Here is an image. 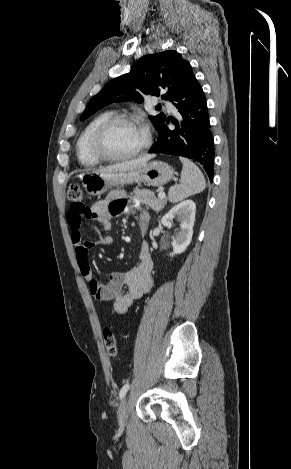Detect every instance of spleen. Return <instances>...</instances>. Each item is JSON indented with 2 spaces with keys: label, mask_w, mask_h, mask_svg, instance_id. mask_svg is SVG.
Here are the masks:
<instances>
[{
  "label": "spleen",
  "mask_w": 291,
  "mask_h": 469,
  "mask_svg": "<svg viewBox=\"0 0 291 469\" xmlns=\"http://www.w3.org/2000/svg\"><path fill=\"white\" fill-rule=\"evenodd\" d=\"M180 160L183 164L181 183L170 187L168 192V199L173 203L198 194L206 187L205 178L201 170L186 158L181 157Z\"/></svg>",
  "instance_id": "3e777b00"
}]
</instances>
